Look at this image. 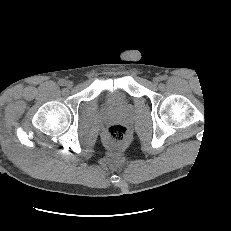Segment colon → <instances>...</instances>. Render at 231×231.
<instances>
[{
    "label": "colon",
    "instance_id": "obj_1",
    "mask_svg": "<svg viewBox=\"0 0 231 231\" xmlns=\"http://www.w3.org/2000/svg\"><path fill=\"white\" fill-rule=\"evenodd\" d=\"M127 135V127L121 124L111 125L107 130L108 139L113 144H121L126 140Z\"/></svg>",
    "mask_w": 231,
    "mask_h": 231
}]
</instances>
